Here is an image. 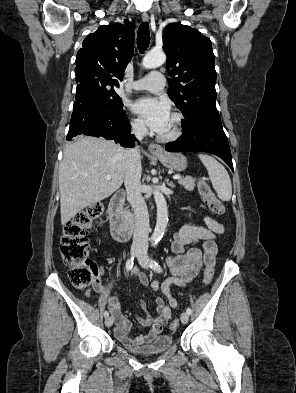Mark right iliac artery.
Segmentation results:
<instances>
[{
    "instance_id": "1",
    "label": "right iliac artery",
    "mask_w": 296,
    "mask_h": 393,
    "mask_svg": "<svg viewBox=\"0 0 296 393\" xmlns=\"http://www.w3.org/2000/svg\"><path fill=\"white\" fill-rule=\"evenodd\" d=\"M133 264H134V257H131L126 262V270L127 271L131 270V268L133 267ZM103 315H104V317H108L109 313L107 311H105Z\"/></svg>"
}]
</instances>
